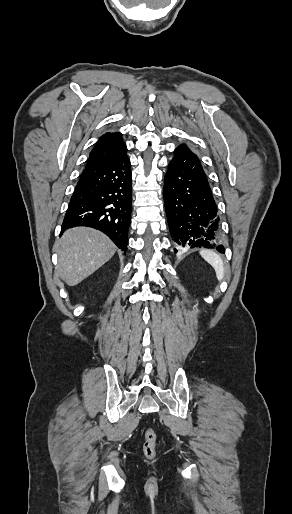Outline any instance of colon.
Returning a JSON list of instances; mask_svg holds the SVG:
<instances>
[{
	"instance_id": "1",
	"label": "colon",
	"mask_w": 292,
	"mask_h": 514,
	"mask_svg": "<svg viewBox=\"0 0 292 514\" xmlns=\"http://www.w3.org/2000/svg\"><path fill=\"white\" fill-rule=\"evenodd\" d=\"M157 435L153 427H148L144 433L142 451L146 458L152 459L156 455Z\"/></svg>"
}]
</instances>
